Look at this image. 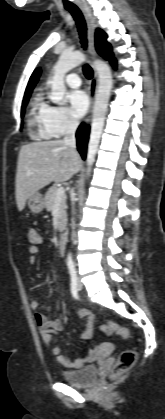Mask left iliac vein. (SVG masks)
Segmentation results:
<instances>
[{
    "label": "left iliac vein",
    "instance_id": "4c4485c4",
    "mask_svg": "<svg viewBox=\"0 0 165 419\" xmlns=\"http://www.w3.org/2000/svg\"><path fill=\"white\" fill-rule=\"evenodd\" d=\"M77 280H78V289H79V290H81V289H82V284H81V281H80V279H79V278H78Z\"/></svg>",
    "mask_w": 165,
    "mask_h": 419
}]
</instances>
